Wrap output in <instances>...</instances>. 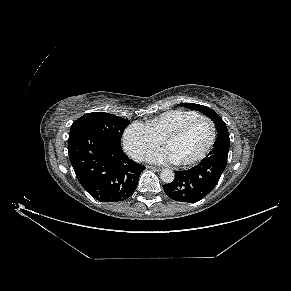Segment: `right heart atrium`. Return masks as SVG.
I'll return each mask as SVG.
<instances>
[{
	"mask_svg": "<svg viewBox=\"0 0 291 291\" xmlns=\"http://www.w3.org/2000/svg\"><path fill=\"white\" fill-rule=\"evenodd\" d=\"M124 148L135 160L144 159L148 152L158 147L161 140L142 123L129 125L123 136Z\"/></svg>",
	"mask_w": 291,
	"mask_h": 291,
	"instance_id": "d8ad5b80",
	"label": "right heart atrium"
}]
</instances>
